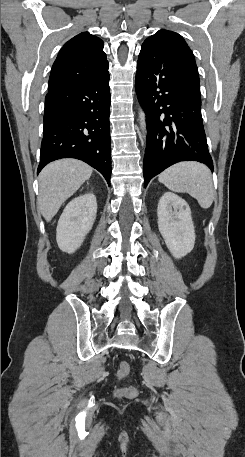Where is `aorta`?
Listing matches in <instances>:
<instances>
[{
  "instance_id": "762f6f07",
  "label": "aorta",
  "mask_w": 245,
  "mask_h": 457,
  "mask_svg": "<svg viewBox=\"0 0 245 457\" xmlns=\"http://www.w3.org/2000/svg\"><path fill=\"white\" fill-rule=\"evenodd\" d=\"M139 124L142 131V135L146 137L147 135V123H146V114L143 109L139 110Z\"/></svg>"
}]
</instances>
